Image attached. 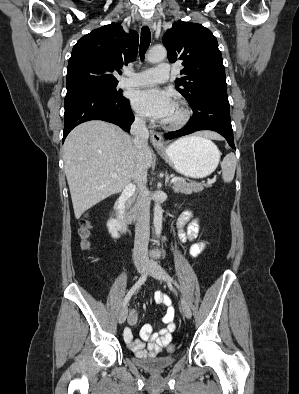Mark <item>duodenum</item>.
<instances>
[{"mask_svg":"<svg viewBox=\"0 0 299 394\" xmlns=\"http://www.w3.org/2000/svg\"><path fill=\"white\" fill-rule=\"evenodd\" d=\"M136 192V186L134 184H129L121 193L120 197L117 199L115 203V208L118 213V218L121 224L122 231H126L130 218L127 213L126 207L130 198Z\"/></svg>","mask_w":299,"mask_h":394,"instance_id":"1","label":"duodenum"}]
</instances>
